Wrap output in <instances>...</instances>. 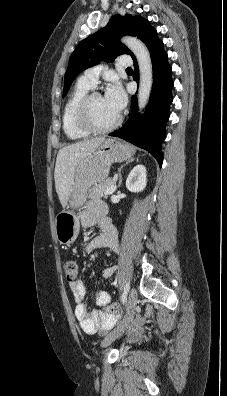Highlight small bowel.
<instances>
[{
  "instance_id": "c3829d8e",
  "label": "small bowel",
  "mask_w": 227,
  "mask_h": 396,
  "mask_svg": "<svg viewBox=\"0 0 227 396\" xmlns=\"http://www.w3.org/2000/svg\"><path fill=\"white\" fill-rule=\"evenodd\" d=\"M80 221L83 227L92 228L98 226L101 233L93 237L86 245L85 250L91 253L98 249H108L117 251L119 248L116 228L107 217L106 207L100 201H92L80 213ZM115 271L114 266L104 269L102 277L109 279ZM75 310L74 314L80 323L82 330L87 334H105L120 321V314L109 313L106 310L94 309L89 311L86 298L88 290L85 283L78 279L70 283ZM94 302L97 306H107L111 302V295L108 291L100 290L94 295ZM145 333L144 327L138 321L130 330L129 338L137 340Z\"/></svg>"
}]
</instances>
